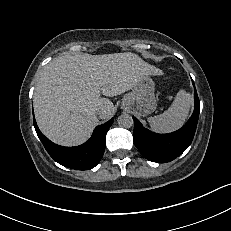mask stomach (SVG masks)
<instances>
[{
	"label": "stomach",
	"instance_id": "stomach-1",
	"mask_svg": "<svg viewBox=\"0 0 231 231\" xmlns=\"http://www.w3.org/2000/svg\"><path fill=\"white\" fill-rule=\"evenodd\" d=\"M121 107L140 116H147L157 107L155 83L150 75L141 77L122 100Z\"/></svg>",
	"mask_w": 231,
	"mask_h": 231
}]
</instances>
